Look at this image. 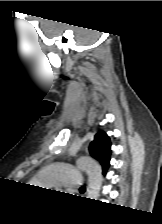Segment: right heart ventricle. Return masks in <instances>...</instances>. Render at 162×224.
<instances>
[{
	"label": "right heart ventricle",
	"instance_id": "obj_1",
	"mask_svg": "<svg viewBox=\"0 0 162 224\" xmlns=\"http://www.w3.org/2000/svg\"><path fill=\"white\" fill-rule=\"evenodd\" d=\"M33 184L34 185H44L40 180H39V178H38V180H33Z\"/></svg>",
	"mask_w": 162,
	"mask_h": 224
}]
</instances>
